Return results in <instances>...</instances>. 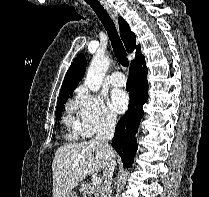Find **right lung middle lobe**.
I'll return each instance as SVG.
<instances>
[{"instance_id": "right-lung-middle-lobe-1", "label": "right lung middle lobe", "mask_w": 209, "mask_h": 197, "mask_svg": "<svg viewBox=\"0 0 209 197\" xmlns=\"http://www.w3.org/2000/svg\"><path fill=\"white\" fill-rule=\"evenodd\" d=\"M67 98H68V96L58 100L57 108H56V118L57 119H60V117H61V114H62V111L64 108V103L66 102Z\"/></svg>"}]
</instances>
